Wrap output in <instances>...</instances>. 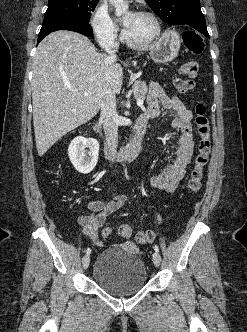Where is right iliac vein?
Instances as JSON below:
<instances>
[{"label":"right iliac vein","mask_w":247,"mask_h":332,"mask_svg":"<svg viewBox=\"0 0 247 332\" xmlns=\"http://www.w3.org/2000/svg\"><path fill=\"white\" fill-rule=\"evenodd\" d=\"M83 268L87 269L90 264V255L86 254L82 259Z\"/></svg>","instance_id":"1"}]
</instances>
